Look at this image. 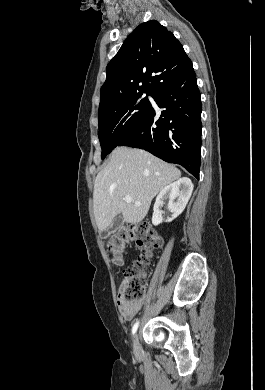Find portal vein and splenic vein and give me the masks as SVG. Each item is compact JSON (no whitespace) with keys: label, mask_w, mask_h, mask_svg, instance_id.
<instances>
[{"label":"portal vein and splenic vein","mask_w":265,"mask_h":390,"mask_svg":"<svg viewBox=\"0 0 265 390\" xmlns=\"http://www.w3.org/2000/svg\"><path fill=\"white\" fill-rule=\"evenodd\" d=\"M124 201H125L126 203H131V202L133 201V199H132V197H130V196H125V197H124ZM135 205L140 206L141 203H140V202H135Z\"/></svg>","instance_id":"portal-vein-and-splenic-vein-1"}]
</instances>
